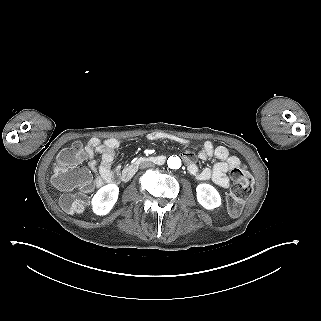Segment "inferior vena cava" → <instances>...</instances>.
Instances as JSON below:
<instances>
[{
  "label": "inferior vena cava",
  "mask_w": 321,
  "mask_h": 321,
  "mask_svg": "<svg viewBox=\"0 0 321 321\" xmlns=\"http://www.w3.org/2000/svg\"><path fill=\"white\" fill-rule=\"evenodd\" d=\"M154 166H155V164L153 162L145 160L140 163L139 168L145 169V168H150V167H154Z\"/></svg>",
  "instance_id": "602c4592"
}]
</instances>
